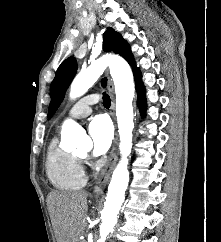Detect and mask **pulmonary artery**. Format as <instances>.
Here are the masks:
<instances>
[{"instance_id":"pulmonary-artery-1","label":"pulmonary artery","mask_w":221,"mask_h":242,"mask_svg":"<svg viewBox=\"0 0 221 242\" xmlns=\"http://www.w3.org/2000/svg\"><path fill=\"white\" fill-rule=\"evenodd\" d=\"M98 101L99 97L96 94H90L82 97L69 109L67 118L78 119L88 116L92 111L91 106Z\"/></svg>"}]
</instances>
